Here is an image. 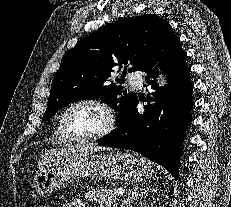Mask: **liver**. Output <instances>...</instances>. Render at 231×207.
Wrapping results in <instances>:
<instances>
[{"label":"liver","mask_w":231,"mask_h":207,"mask_svg":"<svg viewBox=\"0 0 231 207\" xmlns=\"http://www.w3.org/2000/svg\"><path fill=\"white\" fill-rule=\"evenodd\" d=\"M105 150H108V148L97 146L94 144H89L79 147H69V148H64L62 150H51L41 156V159L38 162V167L42 169L44 166H50L51 163L54 162L57 158L69 153L98 152V151H105Z\"/></svg>","instance_id":"6515ba94"}]
</instances>
